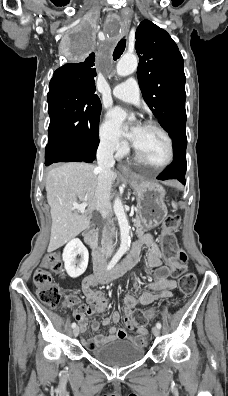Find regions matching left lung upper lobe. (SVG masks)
<instances>
[{
  "instance_id": "obj_1",
  "label": "left lung upper lobe",
  "mask_w": 228,
  "mask_h": 396,
  "mask_svg": "<svg viewBox=\"0 0 228 396\" xmlns=\"http://www.w3.org/2000/svg\"><path fill=\"white\" fill-rule=\"evenodd\" d=\"M138 82L143 98L168 133L186 120L183 58L170 35L148 20L136 30Z\"/></svg>"
}]
</instances>
